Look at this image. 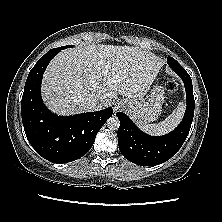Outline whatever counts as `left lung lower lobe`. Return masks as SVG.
<instances>
[{
    "label": "left lung lower lobe",
    "mask_w": 222,
    "mask_h": 222,
    "mask_svg": "<svg viewBox=\"0 0 222 222\" xmlns=\"http://www.w3.org/2000/svg\"><path fill=\"white\" fill-rule=\"evenodd\" d=\"M168 65L183 80L187 96L186 111L176 129L163 136H150L142 132L126 114L116 113L120 119L117 132L119 149L126 159L138 165L154 166L166 162L181 148L190 131L194 116L192 80L177 61Z\"/></svg>",
    "instance_id": "left-lung-lower-lobe-1"
}]
</instances>
